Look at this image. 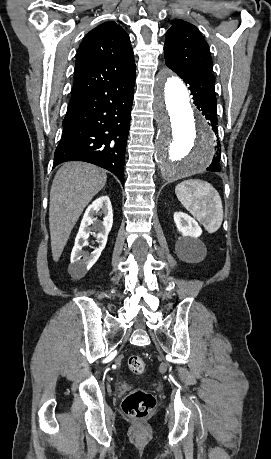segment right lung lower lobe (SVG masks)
Listing matches in <instances>:
<instances>
[{
  "instance_id": "1",
  "label": "right lung lower lobe",
  "mask_w": 271,
  "mask_h": 459,
  "mask_svg": "<svg viewBox=\"0 0 271 459\" xmlns=\"http://www.w3.org/2000/svg\"><path fill=\"white\" fill-rule=\"evenodd\" d=\"M134 85L135 74L120 77L68 106L53 168L66 161H85L109 170L124 185Z\"/></svg>"
}]
</instances>
